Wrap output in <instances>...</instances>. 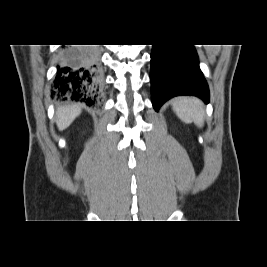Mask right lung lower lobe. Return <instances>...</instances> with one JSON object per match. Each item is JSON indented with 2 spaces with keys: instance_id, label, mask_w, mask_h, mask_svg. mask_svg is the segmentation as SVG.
Returning a JSON list of instances; mask_svg holds the SVG:
<instances>
[{
  "instance_id": "1",
  "label": "right lung lower lobe",
  "mask_w": 267,
  "mask_h": 267,
  "mask_svg": "<svg viewBox=\"0 0 267 267\" xmlns=\"http://www.w3.org/2000/svg\"><path fill=\"white\" fill-rule=\"evenodd\" d=\"M97 58V51L93 47L66 46L62 63L57 66L52 95L63 100L85 102L89 106L94 103L100 85Z\"/></svg>"
}]
</instances>
